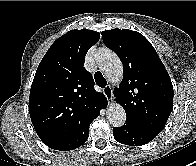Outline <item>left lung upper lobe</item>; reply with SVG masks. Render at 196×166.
Masks as SVG:
<instances>
[{
    "label": "left lung upper lobe",
    "mask_w": 196,
    "mask_h": 166,
    "mask_svg": "<svg viewBox=\"0 0 196 166\" xmlns=\"http://www.w3.org/2000/svg\"><path fill=\"white\" fill-rule=\"evenodd\" d=\"M102 39L123 64V80L114 94L126 123L159 134L171 113L174 91L157 52L142 34L128 29L103 31Z\"/></svg>",
    "instance_id": "5c2ea615"
}]
</instances>
